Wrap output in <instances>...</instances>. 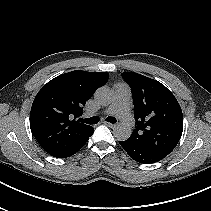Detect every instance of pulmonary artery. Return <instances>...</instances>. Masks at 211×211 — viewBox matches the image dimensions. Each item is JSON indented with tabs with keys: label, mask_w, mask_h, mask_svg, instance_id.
I'll return each instance as SVG.
<instances>
[{
	"label": "pulmonary artery",
	"mask_w": 211,
	"mask_h": 211,
	"mask_svg": "<svg viewBox=\"0 0 211 211\" xmlns=\"http://www.w3.org/2000/svg\"><path fill=\"white\" fill-rule=\"evenodd\" d=\"M131 90L125 83H118L114 87V100L110 106L104 109L103 113L116 115L127 127L135 125L134 119L130 113Z\"/></svg>",
	"instance_id": "1"
}]
</instances>
